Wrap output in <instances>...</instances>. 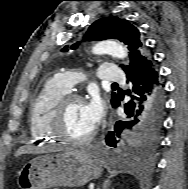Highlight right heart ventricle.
<instances>
[{"mask_svg":"<svg viewBox=\"0 0 188 189\" xmlns=\"http://www.w3.org/2000/svg\"><path fill=\"white\" fill-rule=\"evenodd\" d=\"M69 90L55 78L47 81L29 108V131L34 142H54L48 129L49 116L56 101Z\"/></svg>","mask_w":188,"mask_h":189,"instance_id":"right-heart-ventricle-1","label":"right heart ventricle"}]
</instances>
